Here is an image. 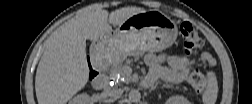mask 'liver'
<instances>
[{"instance_id":"obj_1","label":"liver","mask_w":252,"mask_h":104,"mask_svg":"<svg viewBox=\"0 0 252 104\" xmlns=\"http://www.w3.org/2000/svg\"><path fill=\"white\" fill-rule=\"evenodd\" d=\"M140 7H124L112 11L100 7L83 12L57 28L46 41L39 61L35 91L40 104H65L88 82L86 40L96 41L112 32ZM111 24V25H110Z\"/></svg>"}]
</instances>
